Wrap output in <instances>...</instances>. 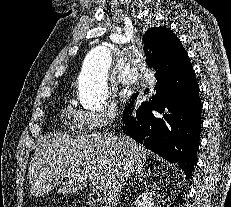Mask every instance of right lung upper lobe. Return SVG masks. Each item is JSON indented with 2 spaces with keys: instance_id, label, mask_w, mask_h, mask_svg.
<instances>
[{
  "instance_id": "1",
  "label": "right lung upper lobe",
  "mask_w": 231,
  "mask_h": 207,
  "mask_svg": "<svg viewBox=\"0 0 231 207\" xmlns=\"http://www.w3.org/2000/svg\"><path fill=\"white\" fill-rule=\"evenodd\" d=\"M143 42L146 62L157 71L165 67H180L190 62L179 39L166 27H157ZM160 63L162 65L158 67L157 64Z\"/></svg>"
}]
</instances>
